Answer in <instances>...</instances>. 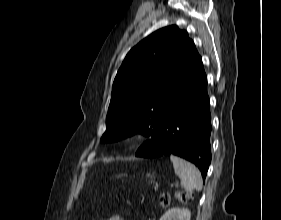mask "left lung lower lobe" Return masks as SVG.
<instances>
[{
	"label": "left lung lower lobe",
	"mask_w": 281,
	"mask_h": 220,
	"mask_svg": "<svg viewBox=\"0 0 281 220\" xmlns=\"http://www.w3.org/2000/svg\"><path fill=\"white\" fill-rule=\"evenodd\" d=\"M211 115L207 76L203 64L179 89L173 106L154 137L136 152L137 157L176 155L194 163L206 178L211 162Z\"/></svg>",
	"instance_id": "0a47b994"
}]
</instances>
